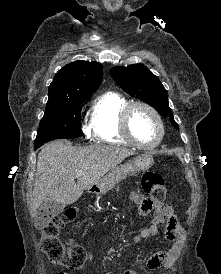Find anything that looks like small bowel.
Wrapping results in <instances>:
<instances>
[{
    "label": "small bowel",
    "mask_w": 221,
    "mask_h": 274,
    "mask_svg": "<svg viewBox=\"0 0 221 274\" xmlns=\"http://www.w3.org/2000/svg\"><path fill=\"white\" fill-rule=\"evenodd\" d=\"M130 199L139 205V214L146 216L153 213L150 225L142 229L135 237V242L155 236L158 233V227L160 224L165 223V238L172 242V245L164 250L153 254L148 260V268L151 270H157L162 267H170L177 259L182 241L184 238V229L180 224L177 216L174 213L172 206L164 205L162 202H155L138 192H132ZM67 274V273H63ZM121 274H137L131 269H123Z\"/></svg>",
    "instance_id": "small-bowel-1"
}]
</instances>
